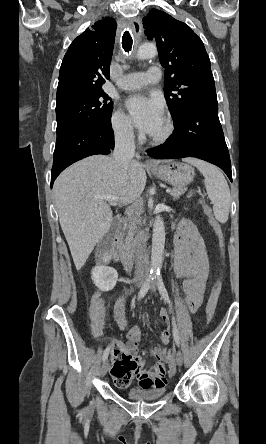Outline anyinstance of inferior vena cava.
Returning a JSON list of instances; mask_svg holds the SVG:
<instances>
[{"label":"inferior vena cava","instance_id":"obj_1","mask_svg":"<svg viewBox=\"0 0 266 444\" xmlns=\"http://www.w3.org/2000/svg\"><path fill=\"white\" fill-rule=\"evenodd\" d=\"M135 153L134 132L132 127H127L115 136V148L113 152L114 159L123 167H127L133 160ZM130 221L134 224L136 218L129 215ZM137 247L136 268L140 271H148L149 261L148 257L144 255L145 239L143 232L137 229V236L135 240Z\"/></svg>","mask_w":266,"mask_h":444}]
</instances>
